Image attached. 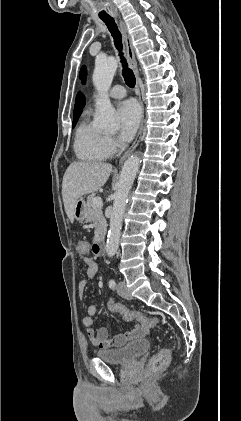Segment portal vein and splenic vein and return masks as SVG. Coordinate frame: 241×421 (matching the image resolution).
<instances>
[{"label":"portal vein and splenic vein","mask_w":241,"mask_h":421,"mask_svg":"<svg viewBox=\"0 0 241 421\" xmlns=\"http://www.w3.org/2000/svg\"><path fill=\"white\" fill-rule=\"evenodd\" d=\"M92 203L95 207H102V205H103L101 197H95L93 199Z\"/></svg>","instance_id":"18ae733b"}]
</instances>
